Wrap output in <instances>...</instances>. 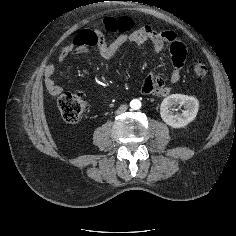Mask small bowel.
Returning a JSON list of instances; mask_svg holds the SVG:
<instances>
[{
  "label": "small bowel",
  "instance_id": "obj_1",
  "mask_svg": "<svg viewBox=\"0 0 236 236\" xmlns=\"http://www.w3.org/2000/svg\"><path fill=\"white\" fill-rule=\"evenodd\" d=\"M121 19L108 17L104 20L102 28L81 30L61 50L58 61L63 62L73 54H90L94 49L98 51L102 58L109 60L126 43L143 45L149 42L157 53L162 52L165 46L169 45L173 65L169 82L171 84L177 83L181 78L182 69L187 58L185 43L178 39L173 31H156L148 25L134 29L133 21L130 18H123L127 22L122 25L120 23ZM104 31L118 33V35L112 41L107 42ZM55 72L56 66L48 64L43 73L45 88L51 96H58L63 91V88L53 78ZM141 92L146 95L165 96L170 92V87L162 77L148 75L141 84Z\"/></svg>",
  "mask_w": 236,
  "mask_h": 236
}]
</instances>
